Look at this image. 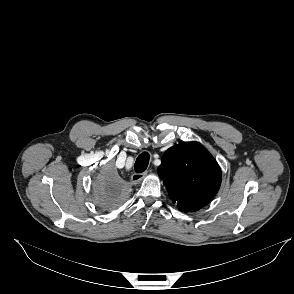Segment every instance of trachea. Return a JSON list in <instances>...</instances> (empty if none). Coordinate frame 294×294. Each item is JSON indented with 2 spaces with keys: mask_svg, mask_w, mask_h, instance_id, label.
<instances>
[{
  "mask_svg": "<svg viewBox=\"0 0 294 294\" xmlns=\"http://www.w3.org/2000/svg\"><path fill=\"white\" fill-rule=\"evenodd\" d=\"M149 164V154L144 152L138 156L134 164L135 172L142 173L146 170Z\"/></svg>",
  "mask_w": 294,
  "mask_h": 294,
  "instance_id": "trachea-1",
  "label": "trachea"
}]
</instances>
